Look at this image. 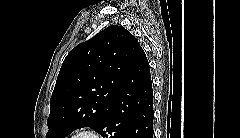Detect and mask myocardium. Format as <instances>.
<instances>
[{
	"mask_svg": "<svg viewBox=\"0 0 240 138\" xmlns=\"http://www.w3.org/2000/svg\"><path fill=\"white\" fill-rule=\"evenodd\" d=\"M76 138H99V135L94 130L85 129V130L78 132Z\"/></svg>",
	"mask_w": 240,
	"mask_h": 138,
	"instance_id": "f54148a6",
	"label": "myocardium"
}]
</instances>
